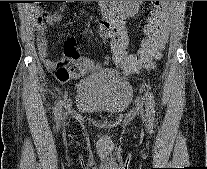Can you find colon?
I'll use <instances>...</instances> for the list:
<instances>
[{
	"label": "colon",
	"instance_id": "5ec220e1",
	"mask_svg": "<svg viewBox=\"0 0 207 169\" xmlns=\"http://www.w3.org/2000/svg\"><path fill=\"white\" fill-rule=\"evenodd\" d=\"M170 1H155L144 26L145 37L141 48L129 54L127 50L128 42L125 39L110 44L112 49L113 63L128 72H137L143 68L151 69L154 66L168 37V17ZM115 33L110 31H100V40L104 43L112 42Z\"/></svg>",
	"mask_w": 207,
	"mask_h": 169
}]
</instances>
